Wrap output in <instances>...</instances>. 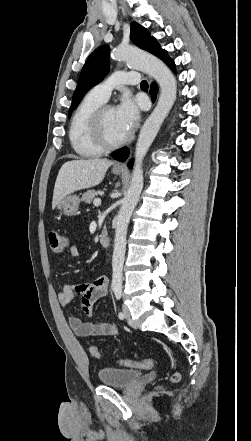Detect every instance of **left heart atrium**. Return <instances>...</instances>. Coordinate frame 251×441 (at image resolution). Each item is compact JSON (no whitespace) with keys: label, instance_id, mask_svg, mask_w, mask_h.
Wrapping results in <instances>:
<instances>
[{"label":"left heart atrium","instance_id":"39dd6f15","mask_svg":"<svg viewBox=\"0 0 251 441\" xmlns=\"http://www.w3.org/2000/svg\"><path fill=\"white\" fill-rule=\"evenodd\" d=\"M116 113L122 128L127 133L135 128L139 120V109L132 99H123L116 108Z\"/></svg>","mask_w":251,"mask_h":441}]
</instances>
